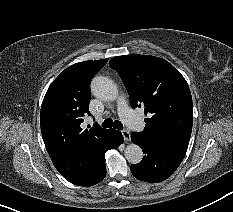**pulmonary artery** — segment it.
Returning a JSON list of instances; mask_svg holds the SVG:
<instances>
[{"mask_svg": "<svg viewBox=\"0 0 233 212\" xmlns=\"http://www.w3.org/2000/svg\"><path fill=\"white\" fill-rule=\"evenodd\" d=\"M118 112L121 118L130 128L138 131L142 130V121L132 112L123 97H120L118 100Z\"/></svg>", "mask_w": 233, "mask_h": 212, "instance_id": "e3ab8cb5", "label": "pulmonary artery"}]
</instances>
